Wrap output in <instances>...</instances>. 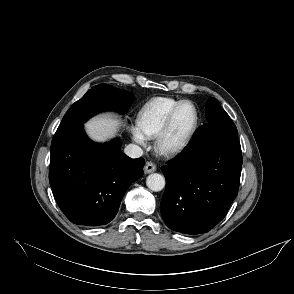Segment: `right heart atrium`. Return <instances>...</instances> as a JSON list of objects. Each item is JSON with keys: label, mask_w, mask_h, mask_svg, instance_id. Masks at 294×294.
<instances>
[{"label": "right heart atrium", "mask_w": 294, "mask_h": 294, "mask_svg": "<svg viewBox=\"0 0 294 294\" xmlns=\"http://www.w3.org/2000/svg\"><path fill=\"white\" fill-rule=\"evenodd\" d=\"M131 132L135 141H137L140 144L145 143V138L140 134L137 128H132Z\"/></svg>", "instance_id": "d8ad5b80"}]
</instances>
